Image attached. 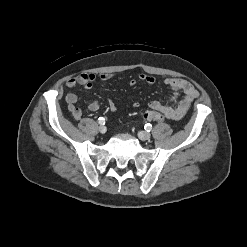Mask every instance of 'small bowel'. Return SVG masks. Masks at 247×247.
Returning <instances> with one entry per match:
<instances>
[{
    "instance_id": "obj_1",
    "label": "small bowel",
    "mask_w": 247,
    "mask_h": 247,
    "mask_svg": "<svg viewBox=\"0 0 247 247\" xmlns=\"http://www.w3.org/2000/svg\"><path fill=\"white\" fill-rule=\"evenodd\" d=\"M114 77L113 74H79L69 78L66 81V86L70 89L78 86H83L86 89H91L97 80L107 81ZM138 81L153 85L156 83V78L147 74H140L138 79H131L129 81L130 86H135ZM165 85L170 87L173 91V97L168 102L152 101L149 106L152 110H156L165 115L166 118L179 120L185 116L190 108L193 100L198 96L196 88L187 80L182 78L169 77L164 80ZM182 94L181 98L179 95ZM65 101L67 103L70 116L74 120H79L82 117V110L76 106L77 95L74 92H68L65 95ZM133 107H139V102H134ZM108 107L111 111L118 110L117 105L112 101H108ZM100 108V103L97 100L91 101L87 105V110L94 112Z\"/></svg>"
}]
</instances>
